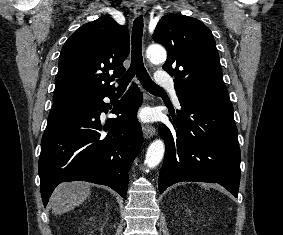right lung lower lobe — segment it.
Listing matches in <instances>:
<instances>
[{"label": "right lung lower lobe", "mask_w": 283, "mask_h": 235, "mask_svg": "<svg viewBox=\"0 0 283 235\" xmlns=\"http://www.w3.org/2000/svg\"><path fill=\"white\" fill-rule=\"evenodd\" d=\"M104 97L114 99V91L87 99L73 115L47 125L39 159L44 206L54 188L64 181L106 185L126 197L127 171L142 144V129L136 118L142 95L133 84L114 105L112 113L119 118L102 124L100 114L109 108Z\"/></svg>", "instance_id": "1"}]
</instances>
